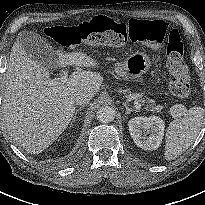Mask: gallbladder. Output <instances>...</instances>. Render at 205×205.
<instances>
[{
  "label": "gallbladder",
  "mask_w": 205,
  "mask_h": 205,
  "mask_svg": "<svg viewBox=\"0 0 205 205\" xmlns=\"http://www.w3.org/2000/svg\"><path fill=\"white\" fill-rule=\"evenodd\" d=\"M18 39L22 48L34 61L50 70L56 68V51L44 37L36 32L23 31Z\"/></svg>",
  "instance_id": "bac80fb5"
}]
</instances>
